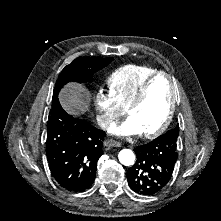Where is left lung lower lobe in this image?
Returning a JSON list of instances; mask_svg holds the SVG:
<instances>
[{
	"instance_id": "obj_1",
	"label": "left lung lower lobe",
	"mask_w": 221,
	"mask_h": 221,
	"mask_svg": "<svg viewBox=\"0 0 221 221\" xmlns=\"http://www.w3.org/2000/svg\"><path fill=\"white\" fill-rule=\"evenodd\" d=\"M134 151L137 160L127 171L129 186L142 195L158 193L171 179L178 157L177 139L161 135Z\"/></svg>"
}]
</instances>
